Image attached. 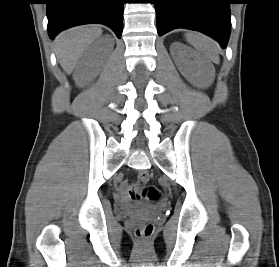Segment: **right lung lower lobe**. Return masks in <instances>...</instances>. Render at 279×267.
I'll use <instances>...</instances> for the list:
<instances>
[{
    "label": "right lung lower lobe",
    "instance_id": "1",
    "mask_svg": "<svg viewBox=\"0 0 279 267\" xmlns=\"http://www.w3.org/2000/svg\"><path fill=\"white\" fill-rule=\"evenodd\" d=\"M45 3L51 39L64 29L88 23L104 24L121 38L124 0H46Z\"/></svg>",
    "mask_w": 279,
    "mask_h": 267
}]
</instances>
